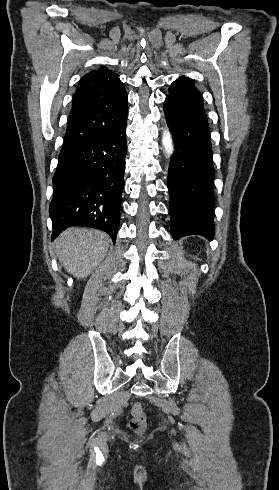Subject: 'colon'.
Wrapping results in <instances>:
<instances>
[{
	"instance_id": "1",
	"label": "colon",
	"mask_w": 279,
	"mask_h": 490,
	"mask_svg": "<svg viewBox=\"0 0 279 490\" xmlns=\"http://www.w3.org/2000/svg\"><path fill=\"white\" fill-rule=\"evenodd\" d=\"M132 421L130 423L131 429L134 431L141 430L144 427V422L146 420V414L144 407L141 403H137L131 409Z\"/></svg>"
}]
</instances>
